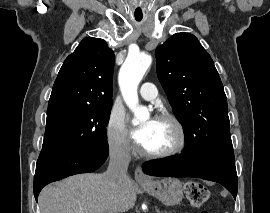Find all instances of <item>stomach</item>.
Segmentation results:
<instances>
[{
	"instance_id": "0dacf381",
	"label": "stomach",
	"mask_w": 270,
	"mask_h": 213,
	"mask_svg": "<svg viewBox=\"0 0 270 213\" xmlns=\"http://www.w3.org/2000/svg\"><path fill=\"white\" fill-rule=\"evenodd\" d=\"M141 186L167 206L176 205L183 198V184L177 178L157 179L150 184H142Z\"/></svg>"
}]
</instances>
